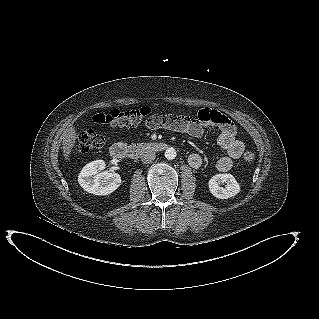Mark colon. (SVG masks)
I'll use <instances>...</instances> for the list:
<instances>
[{"mask_svg": "<svg viewBox=\"0 0 319 319\" xmlns=\"http://www.w3.org/2000/svg\"><path fill=\"white\" fill-rule=\"evenodd\" d=\"M150 114V107H141L131 111L114 109L108 113L101 114V118L103 123L112 126L131 127L145 121ZM105 143L106 137L104 135L93 130H86L78 135L76 150L80 153H88L103 147ZM243 159L246 163H252L255 159V154L252 151L247 150L243 154Z\"/></svg>", "mask_w": 319, "mask_h": 319, "instance_id": "obj_1", "label": "colon"}]
</instances>
